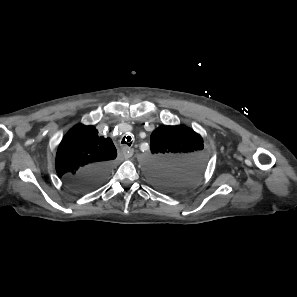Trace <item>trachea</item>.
<instances>
[{
    "label": "trachea",
    "instance_id": "obj_1",
    "mask_svg": "<svg viewBox=\"0 0 297 297\" xmlns=\"http://www.w3.org/2000/svg\"><path fill=\"white\" fill-rule=\"evenodd\" d=\"M121 143L122 144H127L128 146H131V144H132L131 136L124 137L122 139Z\"/></svg>",
    "mask_w": 297,
    "mask_h": 297
}]
</instances>
